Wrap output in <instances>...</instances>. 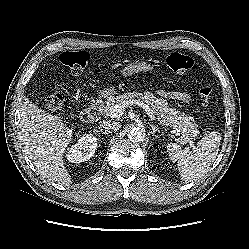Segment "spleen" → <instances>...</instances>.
I'll return each mask as SVG.
<instances>
[{
    "instance_id": "3e777b00",
    "label": "spleen",
    "mask_w": 249,
    "mask_h": 249,
    "mask_svg": "<svg viewBox=\"0 0 249 249\" xmlns=\"http://www.w3.org/2000/svg\"><path fill=\"white\" fill-rule=\"evenodd\" d=\"M221 134L213 131L198 141L193 149H182L177 143H168L170 159L178 163V170L183 181L190 182L202 177L217 157Z\"/></svg>"
}]
</instances>
